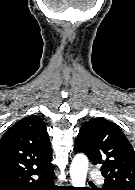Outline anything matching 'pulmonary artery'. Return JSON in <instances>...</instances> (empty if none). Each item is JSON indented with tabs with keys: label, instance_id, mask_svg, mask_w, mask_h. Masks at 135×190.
<instances>
[{
	"label": "pulmonary artery",
	"instance_id": "1",
	"mask_svg": "<svg viewBox=\"0 0 135 190\" xmlns=\"http://www.w3.org/2000/svg\"><path fill=\"white\" fill-rule=\"evenodd\" d=\"M90 175L94 177L95 179H97L99 182H102V177L98 171L92 170L90 171Z\"/></svg>",
	"mask_w": 135,
	"mask_h": 190
}]
</instances>
